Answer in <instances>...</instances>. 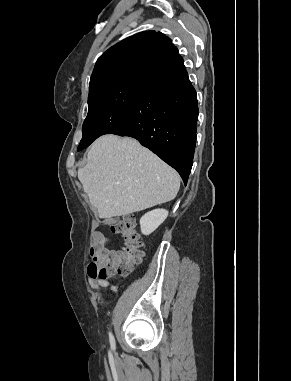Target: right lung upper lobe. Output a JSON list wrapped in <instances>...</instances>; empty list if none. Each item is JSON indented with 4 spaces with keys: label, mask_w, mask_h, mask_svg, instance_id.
<instances>
[{
    "label": "right lung upper lobe",
    "mask_w": 291,
    "mask_h": 381,
    "mask_svg": "<svg viewBox=\"0 0 291 381\" xmlns=\"http://www.w3.org/2000/svg\"><path fill=\"white\" fill-rule=\"evenodd\" d=\"M179 57L170 38L160 32L145 31L128 37L98 58L89 95L129 79H145Z\"/></svg>",
    "instance_id": "1"
}]
</instances>
